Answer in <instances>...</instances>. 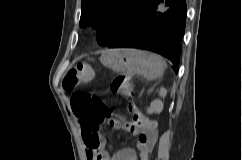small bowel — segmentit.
Masks as SVG:
<instances>
[{
  "mask_svg": "<svg viewBox=\"0 0 242 160\" xmlns=\"http://www.w3.org/2000/svg\"><path fill=\"white\" fill-rule=\"evenodd\" d=\"M112 124L115 128L129 132L137 138L136 149L127 147L114 155H110L106 149V141L99 133L95 135L96 142L94 145L89 146L87 137L91 133L80 122L87 160H149L150 153L157 139L154 121L142 113H135L133 115V121L118 118Z\"/></svg>",
  "mask_w": 242,
  "mask_h": 160,
  "instance_id": "c3829d8e",
  "label": "small bowel"
}]
</instances>
